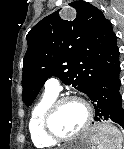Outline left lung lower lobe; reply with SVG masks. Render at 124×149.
I'll return each mask as SVG.
<instances>
[{
    "instance_id": "0a47b994",
    "label": "left lung lower lobe",
    "mask_w": 124,
    "mask_h": 149,
    "mask_svg": "<svg viewBox=\"0 0 124 149\" xmlns=\"http://www.w3.org/2000/svg\"><path fill=\"white\" fill-rule=\"evenodd\" d=\"M120 64L99 78L86 95L95 109V121L109 120L124 128V109L120 94Z\"/></svg>"
}]
</instances>
